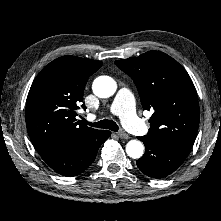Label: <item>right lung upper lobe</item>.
I'll return each instance as SVG.
<instances>
[{"label":"right lung upper lobe","mask_w":221,"mask_h":221,"mask_svg":"<svg viewBox=\"0 0 221 221\" xmlns=\"http://www.w3.org/2000/svg\"><path fill=\"white\" fill-rule=\"evenodd\" d=\"M101 66V61L63 56L37 75L28 93L25 114L35 146L83 139L100 131L82 124L77 115L88 78Z\"/></svg>","instance_id":"obj_1"}]
</instances>
